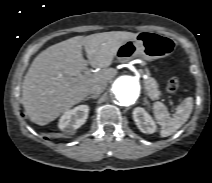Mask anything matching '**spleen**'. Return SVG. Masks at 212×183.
<instances>
[{
    "mask_svg": "<svg viewBox=\"0 0 212 183\" xmlns=\"http://www.w3.org/2000/svg\"><path fill=\"white\" fill-rule=\"evenodd\" d=\"M193 109V98L187 97L176 109L173 117H170L167 107L161 102L153 104V113L157 123L161 126V137H167L175 133L190 117Z\"/></svg>",
    "mask_w": 212,
    "mask_h": 183,
    "instance_id": "spleen-1",
    "label": "spleen"
}]
</instances>
